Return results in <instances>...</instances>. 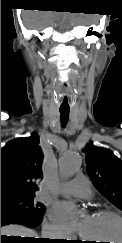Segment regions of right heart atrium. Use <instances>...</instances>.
Segmentation results:
<instances>
[{"label": "right heart atrium", "mask_w": 122, "mask_h": 243, "mask_svg": "<svg viewBox=\"0 0 122 243\" xmlns=\"http://www.w3.org/2000/svg\"><path fill=\"white\" fill-rule=\"evenodd\" d=\"M46 233L54 238H65L67 235L61 230V228L54 224V223H48L45 226Z\"/></svg>", "instance_id": "1"}]
</instances>
